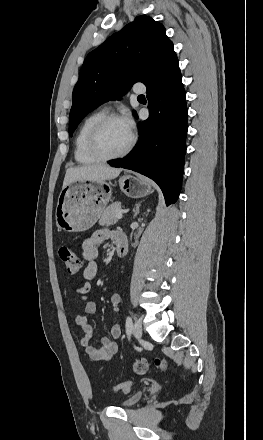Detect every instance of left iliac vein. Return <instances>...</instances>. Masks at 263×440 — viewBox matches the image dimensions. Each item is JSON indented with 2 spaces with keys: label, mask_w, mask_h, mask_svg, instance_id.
I'll return each mask as SVG.
<instances>
[{
  "label": "left iliac vein",
  "mask_w": 263,
  "mask_h": 440,
  "mask_svg": "<svg viewBox=\"0 0 263 440\" xmlns=\"http://www.w3.org/2000/svg\"><path fill=\"white\" fill-rule=\"evenodd\" d=\"M132 333L135 338L140 339L142 336V325L141 322L136 320L133 327H132Z\"/></svg>",
  "instance_id": "4c4485c4"
}]
</instances>
